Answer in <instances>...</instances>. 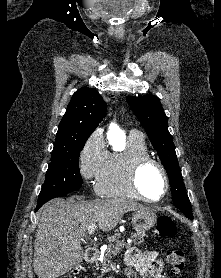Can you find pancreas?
Wrapping results in <instances>:
<instances>
[{
    "label": "pancreas",
    "mask_w": 221,
    "mask_h": 278,
    "mask_svg": "<svg viewBox=\"0 0 221 278\" xmlns=\"http://www.w3.org/2000/svg\"><path fill=\"white\" fill-rule=\"evenodd\" d=\"M145 233H134L131 235L132 242L134 244H141L142 241H144ZM119 234H115L114 236H110L108 238L109 240V247L106 251V253L103 255L101 266L102 271L105 273L107 271V268L109 264L111 263L112 257L116 255L120 250L124 248V246L129 247V244L123 245L120 244V241L118 240ZM116 243V244H115Z\"/></svg>",
    "instance_id": "obj_1"
}]
</instances>
